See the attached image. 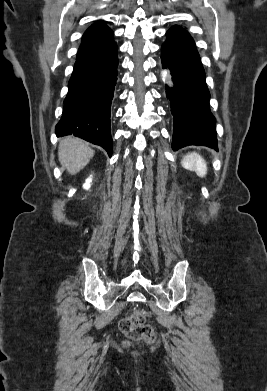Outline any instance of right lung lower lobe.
<instances>
[{
	"label": "right lung lower lobe",
	"mask_w": 267,
	"mask_h": 391,
	"mask_svg": "<svg viewBox=\"0 0 267 391\" xmlns=\"http://www.w3.org/2000/svg\"><path fill=\"white\" fill-rule=\"evenodd\" d=\"M116 43L78 57L56 135H74L112 154L110 111L117 80Z\"/></svg>",
	"instance_id": "obj_1"
}]
</instances>
